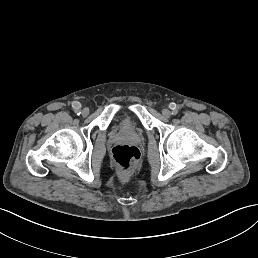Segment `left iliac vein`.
I'll use <instances>...</instances> for the list:
<instances>
[{"instance_id": "4c4485c4", "label": "left iliac vein", "mask_w": 258, "mask_h": 258, "mask_svg": "<svg viewBox=\"0 0 258 258\" xmlns=\"http://www.w3.org/2000/svg\"><path fill=\"white\" fill-rule=\"evenodd\" d=\"M162 114L167 118H170L172 116V113L168 109H164L162 111Z\"/></svg>"}]
</instances>
